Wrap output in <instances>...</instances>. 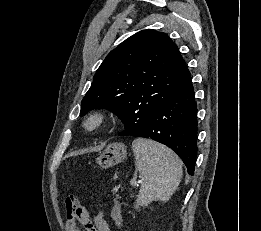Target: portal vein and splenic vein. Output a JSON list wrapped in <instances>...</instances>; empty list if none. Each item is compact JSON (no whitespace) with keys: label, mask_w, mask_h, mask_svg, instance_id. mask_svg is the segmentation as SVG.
Here are the masks:
<instances>
[{"label":"portal vein and splenic vein","mask_w":261,"mask_h":231,"mask_svg":"<svg viewBox=\"0 0 261 231\" xmlns=\"http://www.w3.org/2000/svg\"><path fill=\"white\" fill-rule=\"evenodd\" d=\"M139 182H140V181H139ZM139 182H138V183H139ZM133 183H134V184H137V182H136V181H132V184H133Z\"/></svg>","instance_id":"obj_1"}]
</instances>
